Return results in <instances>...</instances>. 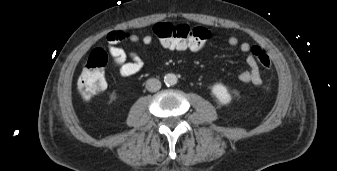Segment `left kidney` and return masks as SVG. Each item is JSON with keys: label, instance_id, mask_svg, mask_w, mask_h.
Segmentation results:
<instances>
[{"label": "left kidney", "instance_id": "1", "mask_svg": "<svg viewBox=\"0 0 337 171\" xmlns=\"http://www.w3.org/2000/svg\"><path fill=\"white\" fill-rule=\"evenodd\" d=\"M212 93L218 99L221 104H229L231 102V95L227 90V87L222 83H216L212 86Z\"/></svg>", "mask_w": 337, "mask_h": 171}]
</instances>
